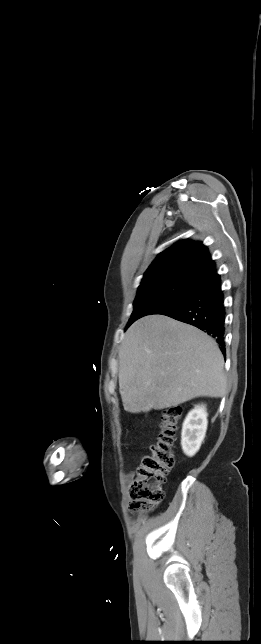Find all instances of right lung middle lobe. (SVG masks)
<instances>
[{
  "label": "right lung middle lobe",
  "instance_id": "1",
  "mask_svg": "<svg viewBox=\"0 0 261 644\" xmlns=\"http://www.w3.org/2000/svg\"><path fill=\"white\" fill-rule=\"evenodd\" d=\"M197 284L190 280L171 278L140 285L127 327L143 316L161 314L182 303Z\"/></svg>",
  "mask_w": 261,
  "mask_h": 644
}]
</instances>
